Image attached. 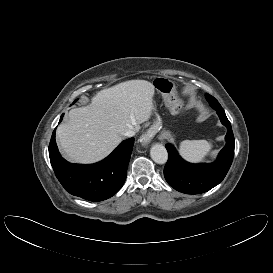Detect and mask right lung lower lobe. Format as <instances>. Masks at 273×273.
<instances>
[{"label":"right lung lower lobe","mask_w":273,"mask_h":273,"mask_svg":"<svg viewBox=\"0 0 273 273\" xmlns=\"http://www.w3.org/2000/svg\"><path fill=\"white\" fill-rule=\"evenodd\" d=\"M62 118L63 115L59 122ZM133 145L134 138H130L98 163L71 164L60 155L54 130L49 144V157L56 177L67 192L89 201H102L115 195L123 186Z\"/></svg>","instance_id":"1"}]
</instances>
